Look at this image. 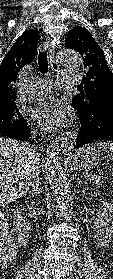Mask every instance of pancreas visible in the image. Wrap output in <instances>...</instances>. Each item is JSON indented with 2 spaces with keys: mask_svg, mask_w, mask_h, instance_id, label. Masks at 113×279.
Here are the masks:
<instances>
[{
  "mask_svg": "<svg viewBox=\"0 0 113 279\" xmlns=\"http://www.w3.org/2000/svg\"><path fill=\"white\" fill-rule=\"evenodd\" d=\"M86 180H89L91 181L93 184L95 185H100L101 184V180H102V177L101 176H97V175H93V174H90V173H83L82 174Z\"/></svg>",
  "mask_w": 113,
  "mask_h": 279,
  "instance_id": "cf45deb5",
  "label": "pancreas"
}]
</instances>
